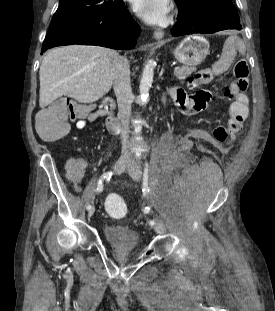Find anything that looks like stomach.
Masks as SVG:
<instances>
[{
  "label": "stomach",
  "mask_w": 275,
  "mask_h": 311,
  "mask_svg": "<svg viewBox=\"0 0 275 311\" xmlns=\"http://www.w3.org/2000/svg\"><path fill=\"white\" fill-rule=\"evenodd\" d=\"M209 53V43L203 37H186L174 50L175 58L184 66H196L202 63Z\"/></svg>",
  "instance_id": "obj_1"
}]
</instances>
